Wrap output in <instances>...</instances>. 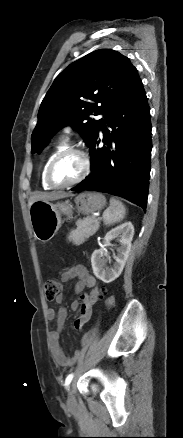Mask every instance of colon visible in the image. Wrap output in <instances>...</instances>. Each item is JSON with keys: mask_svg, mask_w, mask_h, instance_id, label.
I'll return each instance as SVG.
<instances>
[{"mask_svg": "<svg viewBox=\"0 0 183 438\" xmlns=\"http://www.w3.org/2000/svg\"><path fill=\"white\" fill-rule=\"evenodd\" d=\"M62 291L61 283L54 278L48 279L45 283V295L48 300H55ZM105 295V291L96 286L86 297H83L82 314H86L92 309V306Z\"/></svg>", "mask_w": 183, "mask_h": 438, "instance_id": "colon-1", "label": "colon"}]
</instances>
